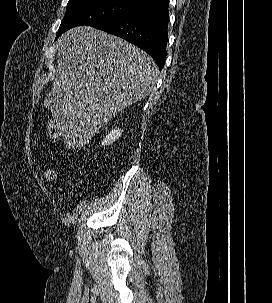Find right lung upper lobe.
Segmentation results:
<instances>
[{
	"label": "right lung upper lobe",
	"instance_id": "obj_1",
	"mask_svg": "<svg viewBox=\"0 0 272 303\" xmlns=\"http://www.w3.org/2000/svg\"><path fill=\"white\" fill-rule=\"evenodd\" d=\"M128 1H132V2L136 3L138 7H143V6H146L148 4L155 3L158 0H128Z\"/></svg>",
	"mask_w": 272,
	"mask_h": 303
}]
</instances>
